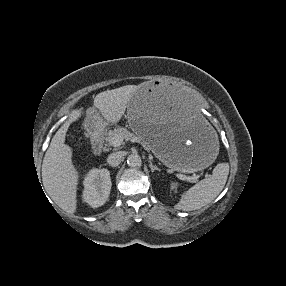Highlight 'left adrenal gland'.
<instances>
[{"instance_id": "1", "label": "left adrenal gland", "mask_w": 286, "mask_h": 286, "mask_svg": "<svg viewBox=\"0 0 286 286\" xmlns=\"http://www.w3.org/2000/svg\"><path fill=\"white\" fill-rule=\"evenodd\" d=\"M149 166H150V168H151V172H152V173H153L155 170H156V171H159V172L161 171L157 166H154L151 162H150V165H149Z\"/></svg>"}]
</instances>
